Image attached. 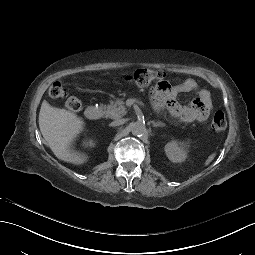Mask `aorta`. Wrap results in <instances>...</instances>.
Wrapping results in <instances>:
<instances>
[{
  "label": "aorta",
  "mask_w": 255,
  "mask_h": 255,
  "mask_svg": "<svg viewBox=\"0 0 255 255\" xmlns=\"http://www.w3.org/2000/svg\"><path fill=\"white\" fill-rule=\"evenodd\" d=\"M130 128H131L132 134L135 136H141L146 131L145 124L141 121H136L131 123Z\"/></svg>",
  "instance_id": "obj_1"
}]
</instances>
